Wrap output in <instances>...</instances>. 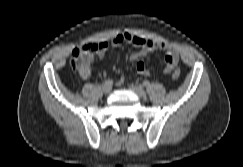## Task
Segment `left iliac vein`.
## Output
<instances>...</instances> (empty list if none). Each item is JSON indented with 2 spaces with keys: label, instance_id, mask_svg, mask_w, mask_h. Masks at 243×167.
<instances>
[{
  "label": "left iliac vein",
  "instance_id": "1",
  "mask_svg": "<svg viewBox=\"0 0 243 167\" xmlns=\"http://www.w3.org/2000/svg\"><path fill=\"white\" fill-rule=\"evenodd\" d=\"M129 89L132 90L137 96L139 97H145L146 96V92L145 90L140 87V86H136L134 84H130L129 86Z\"/></svg>",
  "mask_w": 243,
  "mask_h": 167
}]
</instances>
